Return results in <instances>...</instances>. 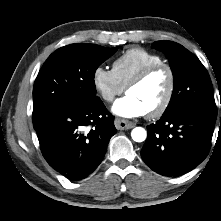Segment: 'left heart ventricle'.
Here are the masks:
<instances>
[{"mask_svg":"<svg viewBox=\"0 0 221 221\" xmlns=\"http://www.w3.org/2000/svg\"><path fill=\"white\" fill-rule=\"evenodd\" d=\"M169 83L166 70L153 73L141 84L132 87L127 94L136 97L146 108L147 112L156 108L163 100Z\"/></svg>","mask_w":221,"mask_h":221,"instance_id":"1","label":"left heart ventricle"}]
</instances>
